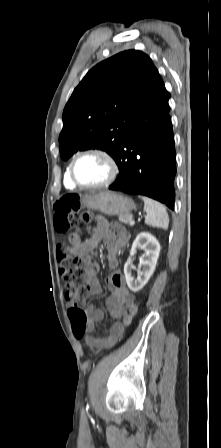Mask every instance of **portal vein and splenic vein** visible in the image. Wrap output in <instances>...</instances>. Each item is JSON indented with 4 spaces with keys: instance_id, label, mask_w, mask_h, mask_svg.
Masks as SVG:
<instances>
[{
    "instance_id": "portal-vein-and-splenic-vein-1",
    "label": "portal vein and splenic vein",
    "mask_w": 221,
    "mask_h": 448,
    "mask_svg": "<svg viewBox=\"0 0 221 448\" xmlns=\"http://www.w3.org/2000/svg\"><path fill=\"white\" fill-rule=\"evenodd\" d=\"M134 224H135V221L134 220H130L129 225L130 226H134Z\"/></svg>"
}]
</instances>
